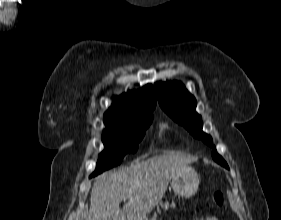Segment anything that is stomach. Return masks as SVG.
<instances>
[{
	"mask_svg": "<svg viewBox=\"0 0 281 220\" xmlns=\"http://www.w3.org/2000/svg\"><path fill=\"white\" fill-rule=\"evenodd\" d=\"M171 187L175 194L183 197H191L198 190L199 176L193 168H183L173 175Z\"/></svg>",
	"mask_w": 281,
	"mask_h": 220,
	"instance_id": "stomach-1",
	"label": "stomach"
}]
</instances>
